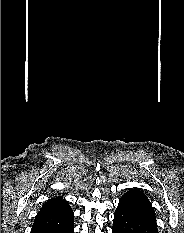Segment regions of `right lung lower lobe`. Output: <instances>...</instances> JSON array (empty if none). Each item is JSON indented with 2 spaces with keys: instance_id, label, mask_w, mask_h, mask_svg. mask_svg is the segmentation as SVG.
Wrapping results in <instances>:
<instances>
[{
  "instance_id": "right-lung-lower-lobe-1",
  "label": "right lung lower lobe",
  "mask_w": 184,
  "mask_h": 233,
  "mask_svg": "<svg viewBox=\"0 0 184 233\" xmlns=\"http://www.w3.org/2000/svg\"><path fill=\"white\" fill-rule=\"evenodd\" d=\"M73 219L69 204L53 206L38 212L31 233H74Z\"/></svg>"
}]
</instances>
